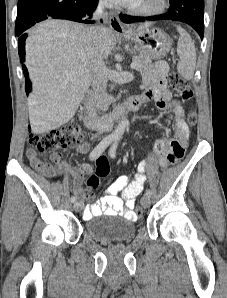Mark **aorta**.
<instances>
[{
    "mask_svg": "<svg viewBox=\"0 0 227 298\" xmlns=\"http://www.w3.org/2000/svg\"><path fill=\"white\" fill-rule=\"evenodd\" d=\"M128 124H129L128 119L126 117L122 118V120L119 122L118 126L112 132L111 137L116 140H119L122 137V135L124 134V131Z\"/></svg>",
    "mask_w": 227,
    "mask_h": 298,
    "instance_id": "obj_1",
    "label": "aorta"
}]
</instances>
